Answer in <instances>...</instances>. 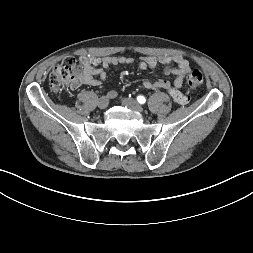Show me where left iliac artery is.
I'll list each match as a JSON object with an SVG mask.
<instances>
[{"instance_id":"left-iliac-artery-1","label":"left iliac artery","mask_w":253,"mask_h":253,"mask_svg":"<svg viewBox=\"0 0 253 253\" xmlns=\"http://www.w3.org/2000/svg\"><path fill=\"white\" fill-rule=\"evenodd\" d=\"M137 100H138V102L141 103V104H143V103L146 102V99H145L144 96H138V97H137Z\"/></svg>"}]
</instances>
